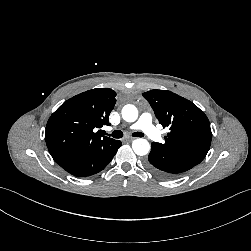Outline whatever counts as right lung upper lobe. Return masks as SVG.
Returning <instances> with one entry per match:
<instances>
[{
    "label": "right lung upper lobe",
    "mask_w": 251,
    "mask_h": 251,
    "mask_svg": "<svg viewBox=\"0 0 251 251\" xmlns=\"http://www.w3.org/2000/svg\"><path fill=\"white\" fill-rule=\"evenodd\" d=\"M115 96L116 92L109 88L88 90L65 101L51 115L45 140L58 165L67 167L114 141L97 129L110 125L108 117L116 103Z\"/></svg>",
    "instance_id": "right-lung-upper-lobe-1"
}]
</instances>
